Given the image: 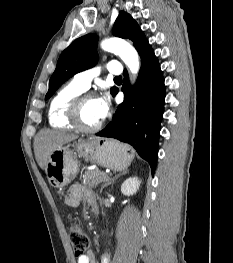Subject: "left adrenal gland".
Masks as SVG:
<instances>
[{"label": "left adrenal gland", "instance_id": "left-adrenal-gland-1", "mask_svg": "<svg viewBox=\"0 0 233 263\" xmlns=\"http://www.w3.org/2000/svg\"><path fill=\"white\" fill-rule=\"evenodd\" d=\"M127 172H128V171L126 170V171H124V172L116 175V176H115L114 178H112L109 182H107L106 184H104V185L101 187L100 193H102L103 189H104L106 186H108V185H110V184H113L116 179H118L121 175L126 174Z\"/></svg>", "mask_w": 233, "mask_h": 263}]
</instances>
